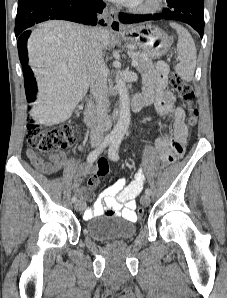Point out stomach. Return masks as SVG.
Masks as SVG:
<instances>
[{
    "mask_svg": "<svg viewBox=\"0 0 227 298\" xmlns=\"http://www.w3.org/2000/svg\"><path fill=\"white\" fill-rule=\"evenodd\" d=\"M122 38L153 59L165 55L172 45L170 37L162 29L151 24L132 26L123 32Z\"/></svg>",
    "mask_w": 227,
    "mask_h": 298,
    "instance_id": "1",
    "label": "stomach"
}]
</instances>
